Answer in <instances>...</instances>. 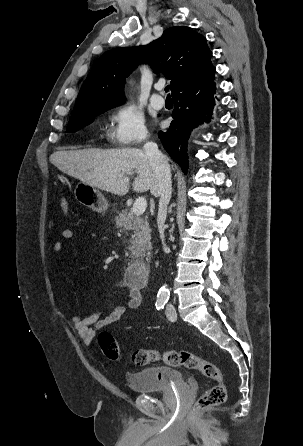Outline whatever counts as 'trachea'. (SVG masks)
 <instances>
[{
    "mask_svg": "<svg viewBox=\"0 0 303 446\" xmlns=\"http://www.w3.org/2000/svg\"><path fill=\"white\" fill-rule=\"evenodd\" d=\"M169 88H170V87H169V85H168V86H166V87H165V92H168V91H169ZM168 97H170V95H169V94H168Z\"/></svg>",
    "mask_w": 303,
    "mask_h": 446,
    "instance_id": "1",
    "label": "trachea"
}]
</instances>
